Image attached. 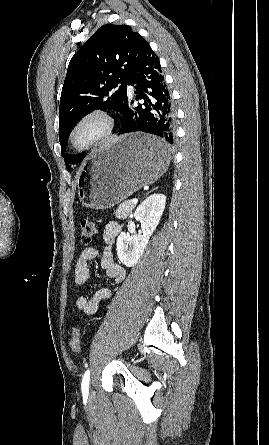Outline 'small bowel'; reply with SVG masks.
Wrapping results in <instances>:
<instances>
[{
	"label": "small bowel",
	"mask_w": 269,
	"mask_h": 445,
	"mask_svg": "<svg viewBox=\"0 0 269 445\" xmlns=\"http://www.w3.org/2000/svg\"><path fill=\"white\" fill-rule=\"evenodd\" d=\"M121 232V226L115 221L106 224L103 231V240L106 244L103 251L95 246L83 248L75 264L74 283L76 286L84 285L89 278V263L98 260L100 267L105 271L107 277L120 283L125 279V270L115 261L111 245ZM112 291L108 287H101L91 297L79 296L76 299V307L85 315L90 316L97 312L99 303L110 298Z\"/></svg>",
	"instance_id": "c3829d8e"
}]
</instances>
